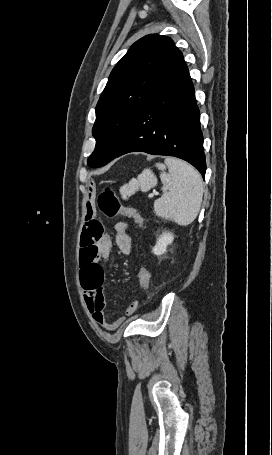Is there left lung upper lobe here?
<instances>
[{"label":"left lung upper lobe","instance_id":"obj_1","mask_svg":"<svg viewBox=\"0 0 272 455\" xmlns=\"http://www.w3.org/2000/svg\"><path fill=\"white\" fill-rule=\"evenodd\" d=\"M186 67L169 37L150 34L130 47L112 70L97 103L90 167L100 166L135 116Z\"/></svg>","mask_w":272,"mask_h":455}]
</instances>
